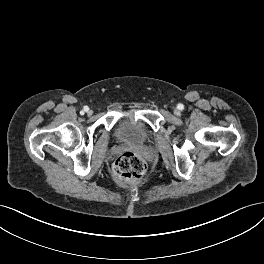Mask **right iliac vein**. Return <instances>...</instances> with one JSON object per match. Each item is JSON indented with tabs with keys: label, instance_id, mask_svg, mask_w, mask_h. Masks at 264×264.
I'll use <instances>...</instances> for the list:
<instances>
[{
	"label": "right iliac vein",
	"instance_id": "right-iliac-vein-1",
	"mask_svg": "<svg viewBox=\"0 0 264 264\" xmlns=\"http://www.w3.org/2000/svg\"><path fill=\"white\" fill-rule=\"evenodd\" d=\"M92 113H93L92 110H88V111H87V114H88V115H92Z\"/></svg>",
	"mask_w": 264,
	"mask_h": 264
}]
</instances>
